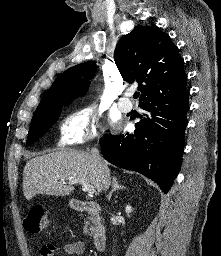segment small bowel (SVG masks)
I'll return each instance as SVG.
<instances>
[{"label": "small bowel", "mask_w": 221, "mask_h": 256, "mask_svg": "<svg viewBox=\"0 0 221 256\" xmlns=\"http://www.w3.org/2000/svg\"><path fill=\"white\" fill-rule=\"evenodd\" d=\"M62 249L69 255L79 256L84 254L86 246L82 241H72L66 243ZM57 250L58 247L54 244H45L41 249V256H54Z\"/></svg>", "instance_id": "c3829d8e"}]
</instances>
